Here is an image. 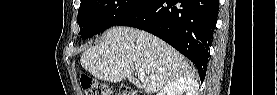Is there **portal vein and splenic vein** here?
Wrapping results in <instances>:
<instances>
[{"label":"portal vein and splenic vein","mask_w":277,"mask_h":95,"mask_svg":"<svg viewBox=\"0 0 277 95\" xmlns=\"http://www.w3.org/2000/svg\"><path fill=\"white\" fill-rule=\"evenodd\" d=\"M137 75H138V78H143L144 77V74L142 72H138Z\"/></svg>","instance_id":"1"}]
</instances>
